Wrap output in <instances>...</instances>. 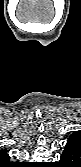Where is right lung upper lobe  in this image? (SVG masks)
<instances>
[{
	"label": "right lung upper lobe",
	"instance_id": "obj_1",
	"mask_svg": "<svg viewBox=\"0 0 81 167\" xmlns=\"http://www.w3.org/2000/svg\"><path fill=\"white\" fill-rule=\"evenodd\" d=\"M9 155L6 153V151H1V154H0V160L1 162L4 164V165H8L9 163Z\"/></svg>",
	"mask_w": 81,
	"mask_h": 167
}]
</instances>
